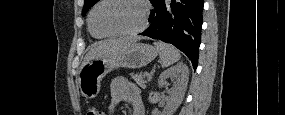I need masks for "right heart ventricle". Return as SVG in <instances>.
Returning a JSON list of instances; mask_svg holds the SVG:
<instances>
[{
    "mask_svg": "<svg viewBox=\"0 0 285 115\" xmlns=\"http://www.w3.org/2000/svg\"><path fill=\"white\" fill-rule=\"evenodd\" d=\"M89 32H90V34H91L95 39H103V38H107V37L100 36V35H98V34L94 33V32L91 30L90 26H89Z\"/></svg>",
    "mask_w": 285,
    "mask_h": 115,
    "instance_id": "1",
    "label": "right heart ventricle"
}]
</instances>
